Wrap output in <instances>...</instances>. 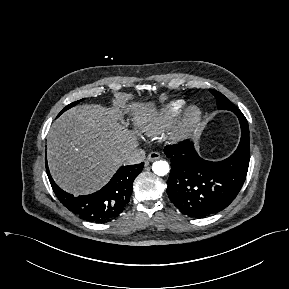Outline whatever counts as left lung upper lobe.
<instances>
[{"instance_id":"1","label":"left lung upper lobe","mask_w":289,"mask_h":289,"mask_svg":"<svg viewBox=\"0 0 289 289\" xmlns=\"http://www.w3.org/2000/svg\"><path fill=\"white\" fill-rule=\"evenodd\" d=\"M216 98L218 108L226 109L232 112H241L232 102H230L223 94L215 90H209Z\"/></svg>"}]
</instances>
